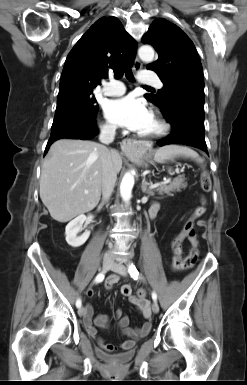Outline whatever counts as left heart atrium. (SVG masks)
<instances>
[{
  "mask_svg": "<svg viewBox=\"0 0 247 385\" xmlns=\"http://www.w3.org/2000/svg\"><path fill=\"white\" fill-rule=\"evenodd\" d=\"M105 115L110 122L136 132L144 130L152 118L146 103L133 95L108 101Z\"/></svg>",
  "mask_w": 247,
  "mask_h": 385,
  "instance_id": "left-heart-atrium-1",
  "label": "left heart atrium"
}]
</instances>
